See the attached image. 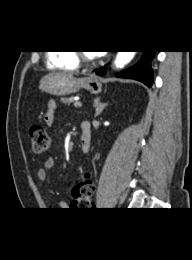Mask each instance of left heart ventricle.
<instances>
[{
    "instance_id": "left-heart-ventricle-1",
    "label": "left heart ventricle",
    "mask_w": 192,
    "mask_h": 260,
    "mask_svg": "<svg viewBox=\"0 0 192 260\" xmlns=\"http://www.w3.org/2000/svg\"><path fill=\"white\" fill-rule=\"evenodd\" d=\"M86 53H87V55H89V56H91V57H93V56L96 55L95 53H92V52H86Z\"/></svg>"
}]
</instances>
